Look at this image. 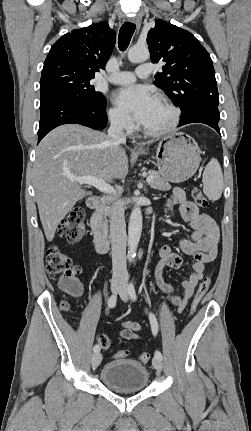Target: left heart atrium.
I'll use <instances>...</instances> for the list:
<instances>
[{"label": "left heart atrium", "instance_id": "left-heart-atrium-1", "mask_svg": "<svg viewBox=\"0 0 251 431\" xmlns=\"http://www.w3.org/2000/svg\"><path fill=\"white\" fill-rule=\"evenodd\" d=\"M115 103L123 111L131 114L143 124L158 102L149 88L141 85L126 86L119 89L114 97Z\"/></svg>", "mask_w": 251, "mask_h": 431}]
</instances>
